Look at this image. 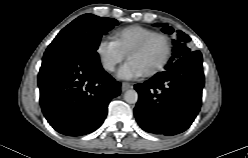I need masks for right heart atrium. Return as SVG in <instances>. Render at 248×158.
<instances>
[{"label": "right heart atrium", "mask_w": 248, "mask_h": 158, "mask_svg": "<svg viewBox=\"0 0 248 158\" xmlns=\"http://www.w3.org/2000/svg\"><path fill=\"white\" fill-rule=\"evenodd\" d=\"M96 53L103 69L113 72L117 65L123 62L126 54L119 48L115 41L101 38L96 47Z\"/></svg>", "instance_id": "d8ad5b80"}]
</instances>
